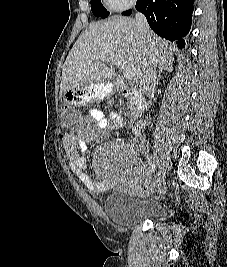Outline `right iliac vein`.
Returning a JSON list of instances; mask_svg holds the SVG:
<instances>
[{
    "label": "right iliac vein",
    "mask_w": 227,
    "mask_h": 267,
    "mask_svg": "<svg viewBox=\"0 0 227 267\" xmlns=\"http://www.w3.org/2000/svg\"><path fill=\"white\" fill-rule=\"evenodd\" d=\"M164 181H165V173L162 172V173L157 177V179H156V181H155V187H156L157 189H159V188L161 187V185L164 183Z\"/></svg>",
    "instance_id": "63e3f726"
}]
</instances>
